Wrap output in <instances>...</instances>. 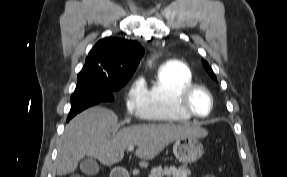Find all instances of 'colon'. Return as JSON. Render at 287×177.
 Segmentation results:
<instances>
[{
    "label": "colon",
    "instance_id": "colon-1",
    "mask_svg": "<svg viewBox=\"0 0 287 177\" xmlns=\"http://www.w3.org/2000/svg\"><path fill=\"white\" fill-rule=\"evenodd\" d=\"M72 177H82V176L75 175V176H72ZM204 177H215V175H213V174H207V175H205Z\"/></svg>",
    "mask_w": 287,
    "mask_h": 177
}]
</instances>
